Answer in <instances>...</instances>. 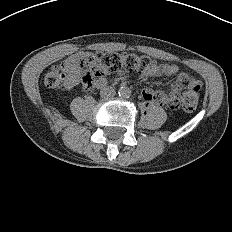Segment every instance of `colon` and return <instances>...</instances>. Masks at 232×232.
<instances>
[{"label":"colon","instance_id":"colon-1","mask_svg":"<svg viewBox=\"0 0 232 232\" xmlns=\"http://www.w3.org/2000/svg\"><path fill=\"white\" fill-rule=\"evenodd\" d=\"M75 64L85 69L82 81L86 90H89L96 77L120 71L121 69L136 70L145 73L156 66V63L146 56L135 54L100 52L75 59ZM64 64L51 67L44 77L48 88L58 89L64 85ZM200 88L191 86L186 78H181L173 85L169 95L159 93L155 102L165 106L170 112L176 111L180 106L185 110H193L199 100Z\"/></svg>","mask_w":232,"mask_h":232}]
</instances>
